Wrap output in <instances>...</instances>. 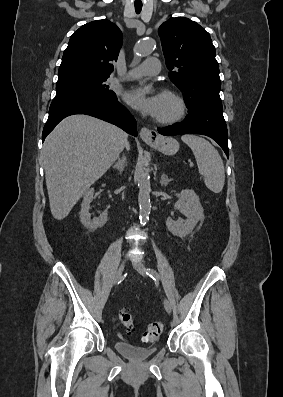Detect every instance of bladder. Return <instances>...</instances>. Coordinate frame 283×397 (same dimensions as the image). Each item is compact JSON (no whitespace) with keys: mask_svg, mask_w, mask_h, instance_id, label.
<instances>
[{"mask_svg":"<svg viewBox=\"0 0 283 397\" xmlns=\"http://www.w3.org/2000/svg\"><path fill=\"white\" fill-rule=\"evenodd\" d=\"M114 347L121 355L136 361L145 360L154 355L158 350L155 345L140 347L126 341H118L115 343Z\"/></svg>","mask_w":283,"mask_h":397,"instance_id":"1","label":"bladder"}]
</instances>
